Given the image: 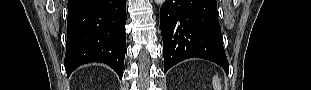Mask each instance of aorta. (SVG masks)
I'll return each instance as SVG.
<instances>
[{
  "label": "aorta",
  "instance_id": "1",
  "mask_svg": "<svg viewBox=\"0 0 311 90\" xmlns=\"http://www.w3.org/2000/svg\"><path fill=\"white\" fill-rule=\"evenodd\" d=\"M155 2L157 5H162L165 2V0H155Z\"/></svg>",
  "mask_w": 311,
  "mask_h": 90
}]
</instances>
